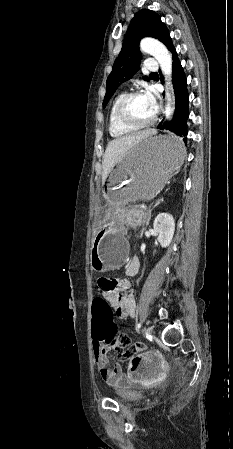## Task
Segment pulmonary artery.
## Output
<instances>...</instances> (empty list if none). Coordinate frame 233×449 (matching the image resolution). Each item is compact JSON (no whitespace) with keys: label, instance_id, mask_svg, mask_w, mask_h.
Here are the masks:
<instances>
[{"label":"pulmonary artery","instance_id":"1","mask_svg":"<svg viewBox=\"0 0 233 449\" xmlns=\"http://www.w3.org/2000/svg\"><path fill=\"white\" fill-rule=\"evenodd\" d=\"M145 68L150 71H155L158 69V65L154 59H149L145 64Z\"/></svg>","mask_w":233,"mask_h":449}]
</instances>
